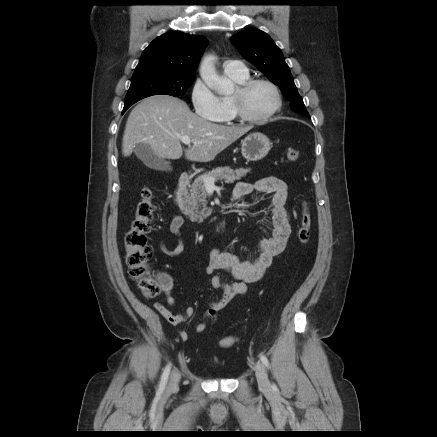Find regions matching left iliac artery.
Here are the masks:
<instances>
[{"label":"left iliac artery","instance_id":"left-iliac-artery-1","mask_svg":"<svg viewBox=\"0 0 437 437\" xmlns=\"http://www.w3.org/2000/svg\"><path fill=\"white\" fill-rule=\"evenodd\" d=\"M260 360L262 361V363L268 368L269 367V361L267 359V357L263 354H260ZM276 386L273 385V388H275Z\"/></svg>","mask_w":437,"mask_h":437}]
</instances>
